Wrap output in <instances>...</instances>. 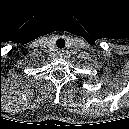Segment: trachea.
Masks as SVG:
<instances>
[{
  "mask_svg": "<svg viewBox=\"0 0 129 129\" xmlns=\"http://www.w3.org/2000/svg\"><path fill=\"white\" fill-rule=\"evenodd\" d=\"M56 45H57L58 48H61V49L65 48V40L62 39V38H59L56 41Z\"/></svg>",
  "mask_w": 129,
  "mask_h": 129,
  "instance_id": "3493384b",
  "label": "trachea"
}]
</instances>
